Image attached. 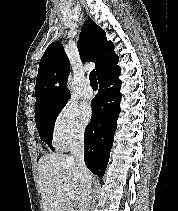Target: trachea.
Masks as SVG:
<instances>
[{"label":"trachea","mask_w":178,"mask_h":211,"mask_svg":"<svg viewBox=\"0 0 178 211\" xmlns=\"http://www.w3.org/2000/svg\"><path fill=\"white\" fill-rule=\"evenodd\" d=\"M89 80L91 83V86L96 89L98 88L97 78H96V72L95 70H92L89 74Z\"/></svg>","instance_id":"3493384b"}]
</instances>
